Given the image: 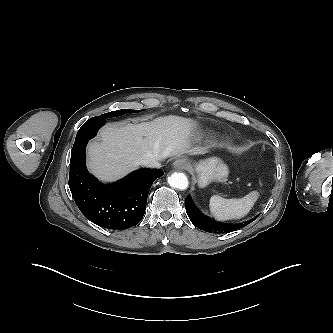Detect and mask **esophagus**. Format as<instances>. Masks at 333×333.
Returning <instances> with one entry per match:
<instances>
[{"label":"esophagus","mask_w":333,"mask_h":333,"mask_svg":"<svg viewBox=\"0 0 333 333\" xmlns=\"http://www.w3.org/2000/svg\"><path fill=\"white\" fill-rule=\"evenodd\" d=\"M174 168L179 169V170H184L189 167V162L186 158H179L174 161L173 163Z\"/></svg>","instance_id":"esophagus-1"}]
</instances>
